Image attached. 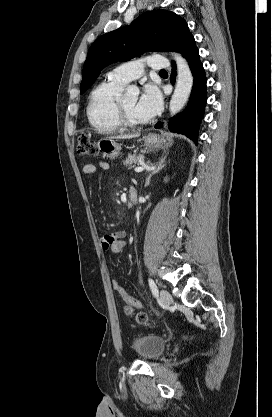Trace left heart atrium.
Here are the masks:
<instances>
[{
	"instance_id": "1",
	"label": "left heart atrium",
	"mask_w": 272,
	"mask_h": 417,
	"mask_svg": "<svg viewBox=\"0 0 272 417\" xmlns=\"http://www.w3.org/2000/svg\"><path fill=\"white\" fill-rule=\"evenodd\" d=\"M162 104V94L159 88L154 84H147L137 102V112L148 120L160 112Z\"/></svg>"
}]
</instances>
